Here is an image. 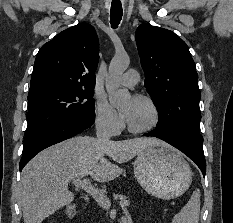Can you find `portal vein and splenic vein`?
<instances>
[{"label": "portal vein and splenic vein", "mask_w": 233, "mask_h": 223, "mask_svg": "<svg viewBox=\"0 0 233 223\" xmlns=\"http://www.w3.org/2000/svg\"><path fill=\"white\" fill-rule=\"evenodd\" d=\"M71 183L75 185V187H81V189H87V193H90L92 197H94L95 201L99 203V205H102V207H108V205H111L112 201H110L109 197L103 193V191H98V189H95V185H93L92 181L88 179V177H78V179H71ZM128 201H121V206H128Z\"/></svg>", "instance_id": "1"}]
</instances>
